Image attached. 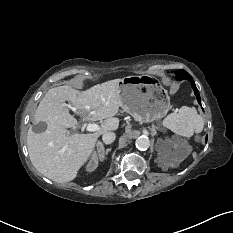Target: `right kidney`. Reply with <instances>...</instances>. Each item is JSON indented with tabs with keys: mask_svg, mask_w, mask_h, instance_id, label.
Wrapping results in <instances>:
<instances>
[{
	"mask_svg": "<svg viewBox=\"0 0 233 233\" xmlns=\"http://www.w3.org/2000/svg\"><path fill=\"white\" fill-rule=\"evenodd\" d=\"M99 158H100V161H102L103 155H100ZM98 161H99V159H98L96 153H94L92 155L91 160L89 161V163L86 166V171H88V172L94 171L98 167Z\"/></svg>",
	"mask_w": 233,
	"mask_h": 233,
	"instance_id": "obj_1",
	"label": "right kidney"
}]
</instances>
